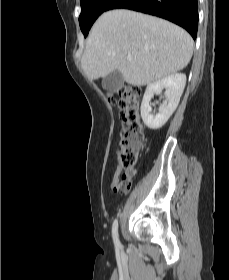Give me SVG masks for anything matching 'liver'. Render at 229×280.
<instances>
[{
  "instance_id": "1",
  "label": "liver",
  "mask_w": 229,
  "mask_h": 280,
  "mask_svg": "<svg viewBox=\"0 0 229 280\" xmlns=\"http://www.w3.org/2000/svg\"><path fill=\"white\" fill-rule=\"evenodd\" d=\"M193 46L192 37L173 23L117 9L93 25L81 66L91 81L119 71L128 84L144 86L184 69Z\"/></svg>"
}]
</instances>
